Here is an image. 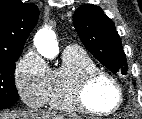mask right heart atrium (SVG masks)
<instances>
[{
    "label": "right heart atrium",
    "mask_w": 142,
    "mask_h": 119,
    "mask_svg": "<svg viewBox=\"0 0 142 119\" xmlns=\"http://www.w3.org/2000/svg\"><path fill=\"white\" fill-rule=\"evenodd\" d=\"M50 69L35 50L27 51L18 61L14 71V83L20 99L30 107L46 103Z\"/></svg>",
    "instance_id": "right-heart-atrium-1"
}]
</instances>
